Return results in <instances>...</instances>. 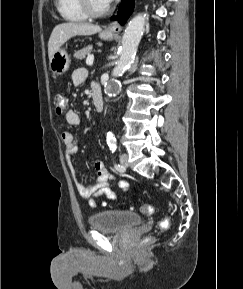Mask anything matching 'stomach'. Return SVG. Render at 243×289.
<instances>
[{
	"label": "stomach",
	"instance_id": "obj_1",
	"mask_svg": "<svg viewBox=\"0 0 243 289\" xmlns=\"http://www.w3.org/2000/svg\"><path fill=\"white\" fill-rule=\"evenodd\" d=\"M100 37L104 40H113L114 35L104 31L100 32ZM70 65V57L65 49L59 48L49 61V68L53 74L61 75L65 73Z\"/></svg>",
	"mask_w": 243,
	"mask_h": 289
}]
</instances>
